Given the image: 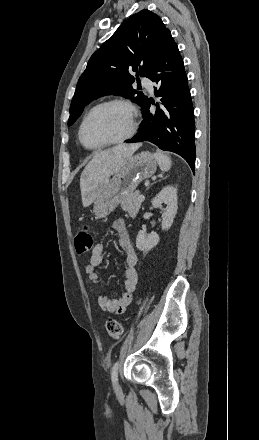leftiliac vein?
<instances>
[{"label":"left iliac vein","mask_w":259,"mask_h":440,"mask_svg":"<svg viewBox=\"0 0 259 440\" xmlns=\"http://www.w3.org/2000/svg\"><path fill=\"white\" fill-rule=\"evenodd\" d=\"M116 387H117V389H119L120 388V386H119V383L117 382V384H116Z\"/></svg>","instance_id":"4c4485c4"}]
</instances>
